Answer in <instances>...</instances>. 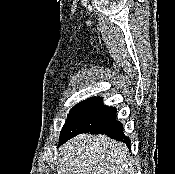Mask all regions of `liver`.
<instances>
[{"mask_svg": "<svg viewBox=\"0 0 175 174\" xmlns=\"http://www.w3.org/2000/svg\"><path fill=\"white\" fill-rule=\"evenodd\" d=\"M58 174H136L127 146L106 135L84 133L61 146Z\"/></svg>", "mask_w": 175, "mask_h": 174, "instance_id": "liver-1", "label": "liver"}]
</instances>
